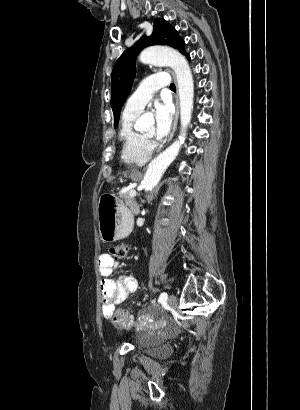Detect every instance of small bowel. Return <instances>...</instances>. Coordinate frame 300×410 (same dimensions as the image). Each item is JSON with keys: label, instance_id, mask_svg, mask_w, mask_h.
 <instances>
[{"label": "small bowel", "instance_id": "1", "mask_svg": "<svg viewBox=\"0 0 300 410\" xmlns=\"http://www.w3.org/2000/svg\"><path fill=\"white\" fill-rule=\"evenodd\" d=\"M117 261L103 253L98 258V267L101 275L100 289L103 297L101 307L102 315L109 318L115 308L121 304L128 295L137 290V280L130 274L120 273L115 278L112 277Z\"/></svg>", "mask_w": 300, "mask_h": 410}]
</instances>
